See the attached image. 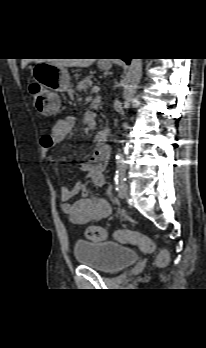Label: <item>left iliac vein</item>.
<instances>
[{
	"label": "left iliac vein",
	"mask_w": 206,
	"mask_h": 348,
	"mask_svg": "<svg viewBox=\"0 0 206 348\" xmlns=\"http://www.w3.org/2000/svg\"><path fill=\"white\" fill-rule=\"evenodd\" d=\"M129 187L126 183H124L118 190V196L122 199L128 196Z\"/></svg>",
	"instance_id": "1"
}]
</instances>
